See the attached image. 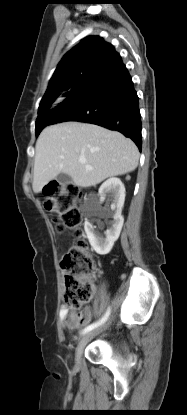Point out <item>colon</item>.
<instances>
[{"instance_id": "5ec220e1", "label": "colon", "mask_w": 187, "mask_h": 415, "mask_svg": "<svg viewBox=\"0 0 187 415\" xmlns=\"http://www.w3.org/2000/svg\"><path fill=\"white\" fill-rule=\"evenodd\" d=\"M46 210L55 215L58 231L75 229L79 238L62 260L64 300L69 309H79L94 296L95 286L90 280L94 261L87 249V243L80 238L82 217L76 201L79 188L70 183L52 181L44 187Z\"/></svg>"}]
</instances>
